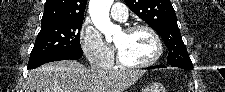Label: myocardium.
Returning a JSON list of instances; mask_svg holds the SVG:
<instances>
[{"instance_id": "f54148a6", "label": "myocardium", "mask_w": 225, "mask_h": 92, "mask_svg": "<svg viewBox=\"0 0 225 92\" xmlns=\"http://www.w3.org/2000/svg\"><path fill=\"white\" fill-rule=\"evenodd\" d=\"M138 30H145L152 36V38L155 42V46H156L155 54L151 59H149L143 63L128 64L123 61V59L120 57V55L118 53L117 54V64L124 69L147 68V67L155 64L159 60V58L161 57V55L163 53V44H162L161 38L158 35V33L156 32V30L154 28H152L151 26H149L147 24L137 23V24H133V25L127 27L124 32L132 33V32L138 31Z\"/></svg>"}]
</instances>
